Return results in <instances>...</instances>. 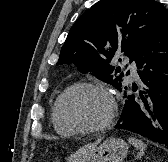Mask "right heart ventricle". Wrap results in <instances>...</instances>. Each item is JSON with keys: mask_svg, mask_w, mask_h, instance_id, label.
<instances>
[{"mask_svg": "<svg viewBox=\"0 0 168 162\" xmlns=\"http://www.w3.org/2000/svg\"><path fill=\"white\" fill-rule=\"evenodd\" d=\"M58 97H59V95L56 97V99L53 102L52 107H51V120H52L54 129L58 134H60L62 136H69V135H72L75 131L66 127L59 120V118L57 116V112H56V104H57Z\"/></svg>", "mask_w": 168, "mask_h": 162, "instance_id": "right-heart-ventricle-1", "label": "right heart ventricle"}]
</instances>
